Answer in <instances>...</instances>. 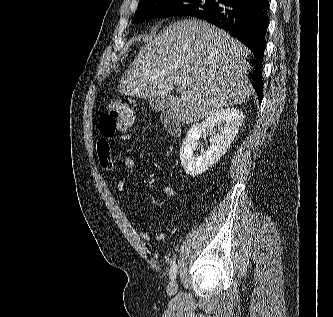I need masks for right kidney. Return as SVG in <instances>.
Wrapping results in <instances>:
<instances>
[{
    "label": "right kidney",
    "mask_w": 333,
    "mask_h": 317,
    "mask_svg": "<svg viewBox=\"0 0 333 317\" xmlns=\"http://www.w3.org/2000/svg\"><path fill=\"white\" fill-rule=\"evenodd\" d=\"M243 112L238 108L221 109L208 116L202 123L191 126L180 148L181 164L187 175L198 176L206 172L225 154L243 122ZM224 123L220 134H211L210 147L194 154L198 140L206 133L212 132L217 124Z\"/></svg>",
    "instance_id": "right-kidney-1"
}]
</instances>
